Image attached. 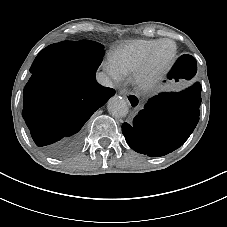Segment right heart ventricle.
<instances>
[{
    "label": "right heart ventricle",
    "instance_id": "right-heart-ventricle-1",
    "mask_svg": "<svg viewBox=\"0 0 227 227\" xmlns=\"http://www.w3.org/2000/svg\"><path fill=\"white\" fill-rule=\"evenodd\" d=\"M161 39H132L119 42L111 53L110 60L124 70L134 71L141 65Z\"/></svg>",
    "mask_w": 227,
    "mask_h": 227
}]
</instances>
